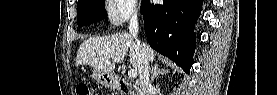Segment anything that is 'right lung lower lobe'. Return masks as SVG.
I'll use <instances>...</instances> for the list:
<instances>
[{
  "instance_id": "98d812e1",
  "label": "right lung lower lobe",
  "mask_w": 277,
  "mask_h": 95,
  "mask_svg": "<svg viewBox=\"0 0 277 95\" xmlns=\"http://www.w3.org/2000/svg\"><path fill=\"white\" fill-rule=\"evenodd\" d=\"M202 0H164L154 5L142 0L141 14L149 45L189 73L195 51L194 24Z\"/></svg>"
}]
</instances>
